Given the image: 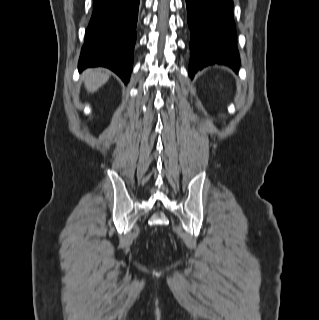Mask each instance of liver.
Listing matches in <instances>:
<instances>
[{
    "instance_id": "6515ba94",
    "label": "liver",
    "mask_w": 319,
    "mask_h": 320,
    "mask_svg": "<svg viewBox=\"0 0 319 320\" xmlns=\"http://www.w3.org/2000/svg\"><path fill=\"white\" fill-rule=\"evenodd\" d=\"M84 85L88 92L97 91L109 79V73H104L102 69H87L83 73Z\"/></svg>"
}]
</instances>
